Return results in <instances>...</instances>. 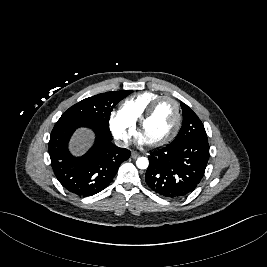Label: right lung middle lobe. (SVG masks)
<instances>
[{
	"label": "right lung middle lobe",
	"mask_w": 267,
	"mask_h": 267,
	"mask_svg": "<svg viewBox=\"0 0 267 267\" xmlns=\"http://www.w3.org/2000/svg\"><path fill=\"white\" fill-rule=\"evenodd\" d=\"M132 90L112 91L86 98L65 111L56 125L109 127L110 113Z\"/></svg>",
	"instance_id": "1"
}]
</instances>
